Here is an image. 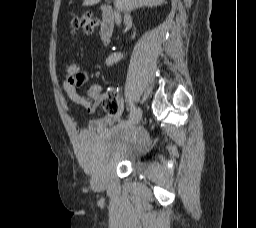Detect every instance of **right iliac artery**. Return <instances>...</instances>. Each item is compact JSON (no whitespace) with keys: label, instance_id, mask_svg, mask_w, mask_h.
<instances>
[{"label":"right iliac artery","instance_id":"obj_1","mask_svg":"<svg viewBox=\"0 0 256 228\" xmlns=\"http://www.w3.org/2000/svg\"><path fill=\"white\" fill-rule=\"evenodd\" d=\"M135 112H136L135 106L132 103H130V114H129V119L127 122L130 121V119L134 116Z\"/></svg>","mask_w":256,"mask_h":228}]
</instances>
